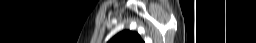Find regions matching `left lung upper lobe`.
Here are the masks:
<instances>
[{
  "label": "left lung upper lobe",
  "instance_id": "left-lung-upper-lobe-1",
  "mask_svg": "<svg viewBox=\"0 0 256 43\" xmlns=\"http://www.w3.org/2000/svg\"><path fill=\"white\" fill-rule=\"evenodd\" d=\"M109 43H144L138 33L122 31L114 36Z\"/></svg>",
  "mask_w": 256,
  "mask_h": 43
}]
</instances>
